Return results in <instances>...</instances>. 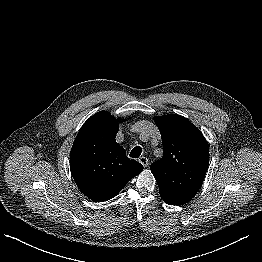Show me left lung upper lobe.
<instances>
[{
	"label": "left lung upper lobe",
	"mask_w": 262,
	"mask_h": 262,
	"mask_svg": "<svg viewBox=\"0 0 262 262\" xmlns=\"http://www.w3.org/2000/svg\"><path fill=\"white\" fill-rule=\"evenodd\" d=\"M164 148L151 172L159 192L169 205L189 202L198 192L209 165V146L198 128L187 118L168 114L155 117Z\"/></svg>",
	"instance_id": "obj_1"
}]
</instances>
